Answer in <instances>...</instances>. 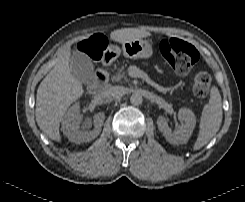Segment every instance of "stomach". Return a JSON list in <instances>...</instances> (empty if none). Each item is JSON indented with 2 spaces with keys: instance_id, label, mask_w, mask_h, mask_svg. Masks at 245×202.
I'll return each instance as SVG.
<instances>
[{
  "instance_id": "obj_1",
  "label": "stomach",
  "mask_w": 245,
  "mask_h": 202,
  "mask_svg": "<svg viewBox=\"0 0 245 202\" xmlns=\"http://www.w3.org/2000/svg\"><path fill=\"white\" fill-rule=\"evenodd\" d=\"M109 50L114 53L115 58L123 52V55L130 59H148L153 55L151 44L143 39H135L122 44V49L117 45H111Z\"/></svg>"
}]
</instances>
